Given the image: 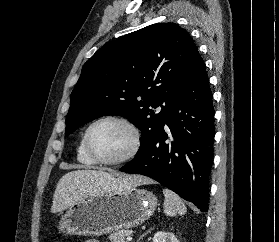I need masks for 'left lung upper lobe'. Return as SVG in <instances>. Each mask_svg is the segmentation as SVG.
<instances>
[{"mask_svg":"<svg viewBox=\"0 0 279 242\" xmlns=\"http://www.w3.org/2000/svg\"><path fill=\"white\" fill-rule=\"evenodd\" d=\"M198 55L189 33L175 23L150 25L104 45L82 68L71 93L65 133L102 116L120 115L141 130L136 156L145 153ZM160 106V112L153 110Z\"/></svg>","mask_w":279,"mask_h":242,"instance_id":"left-lung-upper-lobe-1","label":"left lung upper lobe"}]
</instances>
